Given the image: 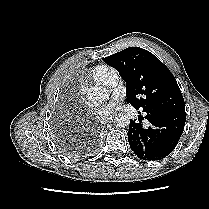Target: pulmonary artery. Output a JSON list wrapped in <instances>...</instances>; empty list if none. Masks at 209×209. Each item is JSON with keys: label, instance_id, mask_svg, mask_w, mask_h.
Wrapping results in <instances>:
<instances>
[{"label": "pulmonary artery", "instance_id": "e3ab8cb5", "mask_svg": "<svg viewBox=\"0 0 209 209\" xmlns=\"http://www.w3.org/2000/svg\"><path fill=\"white\" fill-rule=\"evenodd\" d=\"M119 77L114 69H111L105 78L104 84L107 86H115L118 83Z\"/></svg>", "mask_w": 209, "mask_h": 209}]
</instances>
